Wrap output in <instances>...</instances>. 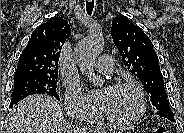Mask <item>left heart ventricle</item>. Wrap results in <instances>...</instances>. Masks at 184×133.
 Listing matches in <instances>:
<instances>
[{"label": "left heart ventricle", "mask_w": 184, "mask_h": 133, "mask_svg": "<svg viewBox=\"0 0 184 133\" xmlns=\"http://www.w3.org/2000/svg\"><path fill=\"white\" fill-rule=\"evenodd\" d=\"M107 99L102 107L103 113L115 118L124 119L132 116L139 106L136 93L130 88H106Z\"/></svg>", "instance_id": "left-heart-ventricle-1"}]
</instances>
